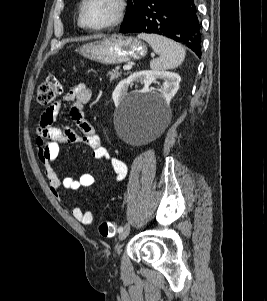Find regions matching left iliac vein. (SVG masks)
<instances>
[{
	"instance_id": "4c4485c4",
	"label": "left iliac vein",
	"mask_w": 267,
	"mask_h": 301,
	"mask_svg": "<svg viewBox=\"0 0 267 301\" xmlns=\"http://www.w3.org/2000/svg\"><path fill=\"white\" fill-rule=\"evenodd\" d=\"M130 233V226L129 224H126L123 227V230L119 233V240L122 241L124 240Z\"/></svg>"
}]
</instances>
